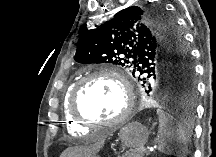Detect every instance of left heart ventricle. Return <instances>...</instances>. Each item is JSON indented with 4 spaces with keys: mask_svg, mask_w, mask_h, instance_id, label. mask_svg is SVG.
<instances>
[{
    "mask_svg": "<svg viewBox=\"0 0 216 157\" xmlns=\"http://www.w3.org/2000/svg\"><path fill=\"white\" fill-rule=\"evenodd\" d=\"M125 106L124 95L119 84L108 77H97L83 87L78 107L91 119L110 121L116 119Z\"/></svg>",
    "mask_w": 216,
    "mask_h": 157,
    "instance_id": "obj_1",
    "label": "left heart ventricle"
}]
</instances>
